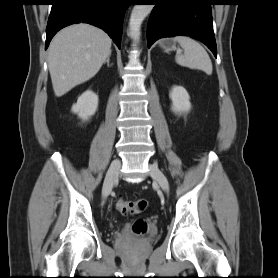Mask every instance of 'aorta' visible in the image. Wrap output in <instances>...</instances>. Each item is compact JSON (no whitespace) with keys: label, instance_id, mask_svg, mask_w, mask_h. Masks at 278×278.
Segmentation results:
<instances>
[{"label":"aorta","instance_id":"obj_1","mask_svg":"<svg viewBox=\"0 0 278 278\" xmlns=\"http://www.w3.org/2000/svg\"><path fill=\"white\" fill-rule=\"evenodd\" d=\"M152 8V5H134L129 20V36L135 42H139L141 24L151 12Z\"/></svg>","mask_w":278,"mask_h":278}]
</instances>
